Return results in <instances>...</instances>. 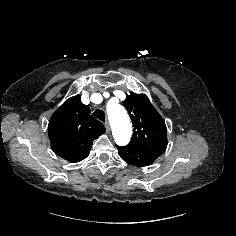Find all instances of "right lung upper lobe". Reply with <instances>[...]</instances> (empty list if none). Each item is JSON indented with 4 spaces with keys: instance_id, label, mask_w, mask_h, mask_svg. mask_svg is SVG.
Masks as SVG:
<instances>
[{
    "instance_id": "obj_1",
    "label": "right lung upper lobe",
    "mask_w": 236,
    "mask_h": 236,
    "mask_svg": "<svg viewBox=\"0 0 236 236\" xmlns=\"http://www.w3.org/2000/svg\"><path fill=\"white\" fill-rule=\"evenodd\" d=\"M105 131V127L90 115L89 107L81 102L79 95L66 100L54 112L48 125L53 151L71 163L85 159L93 140Z\"/></svg>"
}]
</instances>
